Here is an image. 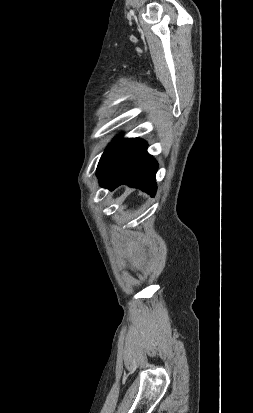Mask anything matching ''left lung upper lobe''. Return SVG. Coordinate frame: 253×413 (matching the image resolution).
Returning <instances> with one entry per match:
<instances>
[{"label":"left lung upper lobe","mask_w":253,"mask_h":413,"mask_svg":"<svg viewBox=\"0 0 253 413\" xmlns=\"http://www.w3.org/2000/svg\"><path fill=\"white\" fill-rule=\"evenodd\" d=\"M126 139H116L114 140V143L109 145L108 148L105 150L103 153L100 162L97 167V172L102 168V166L109 160V158L116 152V150L121 146V144L125 141Z\"/></svg>","instance_id":"5c2ea615"}]
</instances>
